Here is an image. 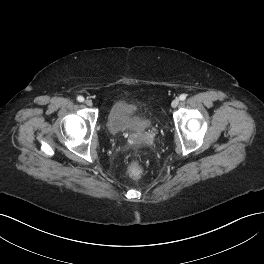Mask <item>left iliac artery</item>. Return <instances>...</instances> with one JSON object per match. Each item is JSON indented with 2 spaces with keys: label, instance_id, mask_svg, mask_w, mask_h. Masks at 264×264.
I'll use <instances>...</instances> for the list:
<instances>
[{
  "label": "left iliac artery",
  "instance_id": "44dca946",
  "mask_svg": "<svg viewBox=\"0 0 264 264\" xmlns=\"http://www.w3.org/2000/svg\"><path fill=\"white\" fill-rule=\"evenodd\" d=\"M179 99L182 100V101L185 100V99H186V95H185V94H181V95L179 96Z\"/></svg>",
  "mask_w": 264,
  "mask_h": 264
}]
</instances>
